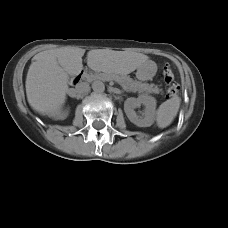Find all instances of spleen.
I'll return each instance as SVG.
<instances>
[{"instance_id":"spleen-1","label":"spleen","mask_w":228,"mask_h":228,"mask_svg":"<svg viewBox=\"0 0 228 228\" xmlns=\"http://www.w3.org/2000/svg\"><path fill=\"white\" fill-rule=\"evenodd\" d=\"M181 104V98L174 96L163 102L156 111V123L159 128H166L176 117Z\"/></svg>"}]
</instances>
